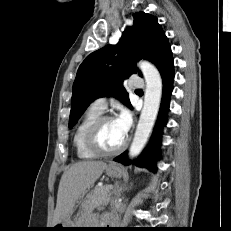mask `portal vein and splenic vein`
Instances as JSON below:
<instances>
[{"label": "portal vein and splenic vein", "instance_id": "1", "mask_svg": "<svg viewBox=\"0 0 231 231\" xmlns=\"http://www.w3.org/2000/svg\"><path fill=\"white\" fill-rule=\"evenodd\" d=\"M107 189L111 190V189H113V186L112 185H108Z\"/></svg>", "mask_w": 231, "mask_h": 231}]
</instances>
